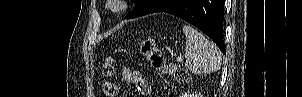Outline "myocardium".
Returning <instances> with one entry per match:
<instances>
[{
    "mask_svg": "<svg viewBox=\"0 0 302 97\" xmlns=\"http://www.w3.org/2000/svg\"><path fill=\"white\" fill-rule=\"evenodd\" d=\"M127 2V0H109L108 8L113 13H122L126 9Z\"/></svg>",
    "mask_w": 302,
    "mask_h": 97,
    "instance_id": "f54148a6",
    "label": "myocardium"
}]
</instances>
